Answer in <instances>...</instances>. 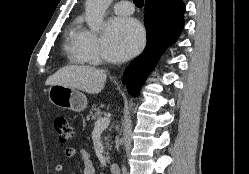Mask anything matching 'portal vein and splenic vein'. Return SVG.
I'll list each match as a JSON object with an SVG mask.
<instances>
[{
    "label": "portal vein and splenic vein",
    "instance_id": "portal-vein-and-splenic-vein-1",
    "mask_svg": "<svg viewBox=\"0 0 249 174\" xmlns=\"http://www.w3.org/2000/svg\"><path fill=\"white\" fill-rule=\"evenodd\" d=\"M109 124H110L109 117L100 118L95 122L94 130L104 131L109 126Z\"/></svg>",
    "mask_w": 249,
    "mask_h": 174
}]
</instances>
